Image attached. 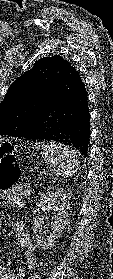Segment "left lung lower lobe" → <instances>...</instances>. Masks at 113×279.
<instances>
[{"mask_svg":"<svg viewBox=\"0 0 113 279\" xmlns=\"http://www.w3.org/2000/svg\"><path fill=\"white\" fill-rule=\"evenodd\" d=\"M88 96L78 72L68 64L36 106L19 138L66 144L85 157L90 136Z\"/></svg>","mask_w":113,"mask_h":279,"instance_id":"1","label":"left lung lower lobe"}]
</instances>
